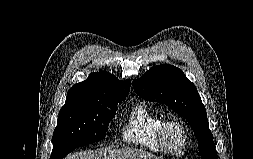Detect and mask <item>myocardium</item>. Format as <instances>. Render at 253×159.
Returning a JSON list of instances; mask_svg holds the SVG:
<instances>
[{
    "instance_id": "f54148a6",
    "label": "myocardium",
    "mask_w": 253,
    "mask_h": 159,
    "mask_svg": "<svg viewBox=\"0 0 253 159\" xmlns=\"http://www.w3.org/2000/svg\"><path fill=\"white\" fill-rule=\"evenodd\" d=\"M172 127L179 129L183 138L182 148L177 151L171 149L167 142L168 132ZM158 139H159V143L161 147L166 152L174 156L182 155L188 145V133H187L186 127L183 124V122H181L179 119H176V118H168L163 121V123L161 124L159 128Z\"/></svg>"
}]
</instances>
